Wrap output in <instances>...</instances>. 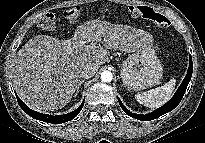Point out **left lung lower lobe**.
I'll list each match as a JSON object with an SVG mask.
<instances>
[{
	"mask_svg": "<svg viewBox=\"0 0 205 143\" xmlns=\"http://www.w3.org/2000/svg\"><path fill=\"white\" fill-rule=\"evenodd\" d=\"M192 71H193V64H192V58L190 56L189 58V68H188V72L186 77L184 78L182 84L180 85V87L178 88L177 92L175 93V95L173 96V98L166 103L165 105H163L162 107H160L159 109L155 110L152 113L146 114V115H138V114H133L130 111H128L124 105L122 104V102L120 101V99L118 98V102L121 106V108L131 117L141 120V121H150L153 119H156L170 111H172L174 108L177 107V105L181 102L183 95L186 91V88L190 82V79L192 77Z\"/></svg>",
	"mask_w": 205,
	"mask_h": 143,
	"instance_id": "left-lung-lower-lobe-1",
	"label": "left lung lower lobe"
}]
</instances>
